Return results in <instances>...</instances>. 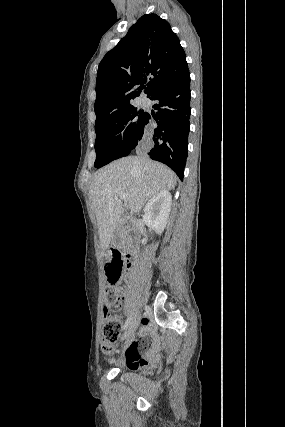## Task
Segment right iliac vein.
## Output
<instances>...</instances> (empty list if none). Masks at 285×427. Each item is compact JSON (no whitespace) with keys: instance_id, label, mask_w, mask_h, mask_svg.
I'll return each instance as SVG.
<instances>
[{"instance_id":"63e3f726","label":"right iliac vein","mask_w":285,"mask_h":427,"mask_svg":"<svg viewBox=\"0 0 285 427\" xmlns=\"http://www.w3.org/2000/svg\"><path fill=\"white\" fill-rule=\"evenodd\" d=\"M139 321H140V315L136 314L133 317V319H132L129 327L126 329V331H125V333H124V335L122 337L123 340L124 339L129 340L133 336V334H134V332H135V330H136V328H137V326L139 324Z\"/></svg>"}]
</instances>
